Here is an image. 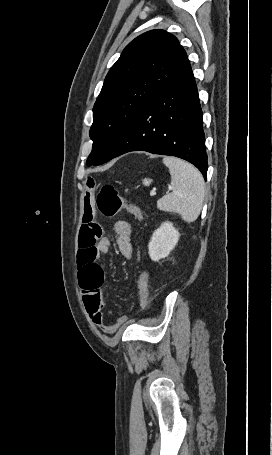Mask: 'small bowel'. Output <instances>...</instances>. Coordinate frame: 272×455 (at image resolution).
I'll use <instances>...</instances> for the list:
<instances>
[{
	"label": "small bowel",
	"instance_id": "small-bowel-1",
	"mask_svg": "<svg viewBox=\"0 0 272 455\" xmlns=\"http://www.w3.org/2000/svg\"><path fill=\"white\" fill-rule=\"evenodd\" d=\"M94 186V179L88 177L86 179L87 198L92 193ZM114 232L119 252L125 259L130 260L133 253L131 225L124 220L117 221L114 224ZM108 247L109 240L102 236L101 227L94 219L89 202L85 200L79 233V283L90 318L103 332L112 334L126 321L127 317L121 316L112 323H107L104 318L105 302L102 290L104 272L99 264V257L108 250Z\"/></svg>",
	"mask_w": 272,
	"mask_h": 455
}]
</instances>
